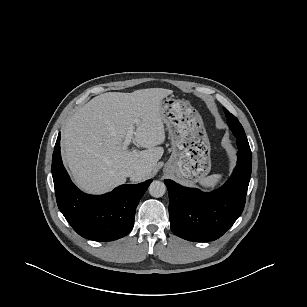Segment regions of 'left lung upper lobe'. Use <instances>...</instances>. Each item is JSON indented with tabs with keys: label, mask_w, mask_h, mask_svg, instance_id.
Instances as JSON below:
<instances>
[{
	"label": "left lung upper lobe",
	"mask_w": 307,
	"mask_h": 307,
	"mask_svg": "<svg viewBox=\"0 0 307 307\" xmlns=\"http://www.w3.org/2000/svg\"><path fill=\"white\" fill-rule=\"evenodd\" d=\"M226 116L228 118L229 128L232 130L233 134L243 141H248L244 129L238 119L232 115L228 110L225 109Z\"/></svg>",
	"instance_id": "obj_1"
}]
</instances>
